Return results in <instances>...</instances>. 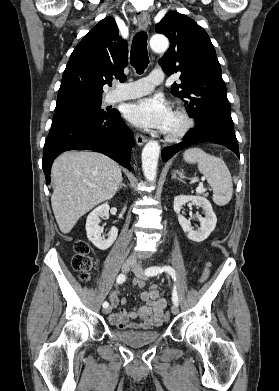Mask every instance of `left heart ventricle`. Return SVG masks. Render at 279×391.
<instances>
[{
  "mask_svg": "<svg viewBox=\"0 0 279 391\" xmlns=\"http://www.w3.org/2000/svg\"><path fill=\"white\" fill-rule=\"evenodd\" d=\"M180 124H181L180 120L177 117H175L173 114H171L166 131H173L177 129L180 126Z\"/></svg>",
  "mask_w": 279,
  "mask_h": 391,
  "instance_id": "left-heart-ventricle-1",
  "label": "left heart ventricle"
}]
</instances>
